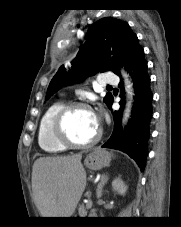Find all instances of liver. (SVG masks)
I'll use <instances>...</instances> for the list:
<instances>
[{"label":"liver","instance_id":"obj_1","mask_svg":"<svg viewBox=\"0 0 181 227\" xmlns=\"http://www.w3.org/2000/svg\"><path fill=\"white\" fill-rule=\"evenodd\" d=\"M82 155L43 157L34 162L32 189L43 217H71L86 186Z\"/></svg>","mask_w":181,"mask_h":227}]
</instances>
